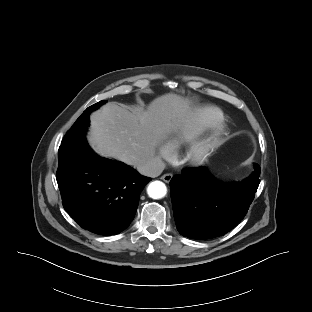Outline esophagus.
<instances>
[{
    "label": "esophagus",
    "instance_id": "esophagus-1",
    "mask_svg": "<svg viewBox=\"0 0 312 312\" xmlns=\"http://www.w3.org/2000/svg\"><path fill=\"white\" fill-rule=\"evenodd\" d=\"M172 176L173 175L171 173H166V174L161 176V179L163 181H165L166 183H169L171 181V179H172Z\"/></svg>",
    "mask_w": 312,
    "mask_h": 312
}]
</instances>
